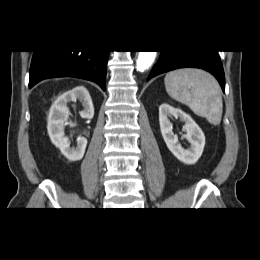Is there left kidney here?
Returning <instances> with one entry per match:
<instances>
[{
	"label": "left kidney",
	"instance_id": "obj_1",
	"mask_svg": "<svg viewBox=\"0 0 260 260\" xmlns=\"http://www.w3.org/2000/svg\"><path fill=\"white\" fill-rule=\"evenodd\" d=\"M170 117L179 118L185 122L186 134L183 135L190 142V147L184 149L178 141V136L172 131ZM159 123L163 139L171 153L181 162L191 165L201 157L204 146L205 136L201 128L195 121L181 109L174 108L167 103L159 106Z\"/></svg>",
	"mask_w": 260,
	"mask_h": 260
}]
</instances>
